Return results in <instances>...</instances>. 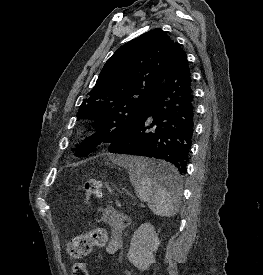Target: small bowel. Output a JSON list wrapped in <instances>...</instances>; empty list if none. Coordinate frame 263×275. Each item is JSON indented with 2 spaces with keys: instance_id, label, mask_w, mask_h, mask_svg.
<instances>
[{
  "instance_id": "c3829d8e",
  "label": "small bowel",
  "mask_w": 263,
  "mask_h": 275,
  "mask_svg": "<svg viewBox=\"0 0 263 275\" xmlns=\"http://www.w3.org/2000/svg\"><path fill=\"white\" fill-rule=\"evenodd\" d=\"M97 222L110 228L109 233L103 230L105 238L100 246H104L109 254L120 252L123 246V231L127 225L126 216L116 212L111 207H107L100 211Z\"/></svg>"
}]
</instances>
